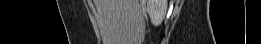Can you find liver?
Returning a JSON list of instances; mask_svg holds the SVG:
<instances>
[{
	"label": "liver",
	"instance_id": "1",
	"mask_svg": "<svg viewBox=\"0 0 261 44\" xmlns=\"http://www.w3.org/2000/svg\"><path fill=\"white\" fill-rule=\"evenodd\" d=\"M103 13L106 44H138L142 42L144 21L139 0H95Z\"/></svg>",
	"mask_w": 261,
	"mask_h": 44
}]
</instances>
